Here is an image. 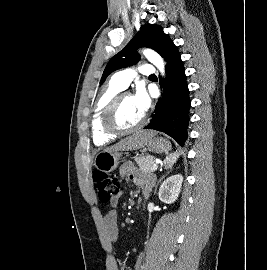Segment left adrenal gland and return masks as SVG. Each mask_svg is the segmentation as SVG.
I'll use <instances>...</instances> for the list:
<instances>
[{"instance_id":"obj_1","label":"left adrenal gland","mask_w":267,"mask_h":270,"mask_svg":"<svg viewBox=\"0 0 267 270\" xmlns=\"http://www.w3.org/2000/svg\"><path fill=\"white\" fill-rule=\"evenodd\" d=\"M164 177H165V175H163V176L158 180L157 185H156V187H155V193H156V189H157L158 184L160 183V181H161Z\"/></svg>"}]
</instances>
